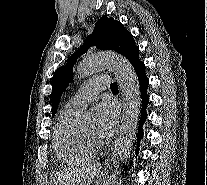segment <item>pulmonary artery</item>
<instances>
[{"instance_id": "e3ab8cb5", "label": "pulmonary artery", "mask_w": 207, "mask_h": 185, "mask_svg": "<svg viewBox=\"0 0 207 185\" xmlns=\"http://www.w3.org/2000/svg\"><path fill=\"white\" fill-rule=\"evenodd\" d=\"M109 77H97L96 81H88V86H81V92L72 97L66 104L69 111H78L90 103L99 91H104L103 82H109Z\"/></svg>"}]
</instances>
